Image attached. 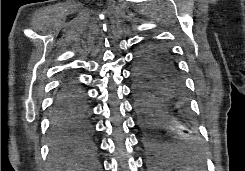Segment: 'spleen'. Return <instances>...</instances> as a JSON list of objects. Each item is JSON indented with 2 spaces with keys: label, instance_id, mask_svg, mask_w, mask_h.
<instances>
[{
  "label": "spleen",
  "instance_id": "spleen-1",
  "mask_svg": "<svg viewBox=\"0 0 245 171\" xmlns=\"http://www.w3.org/2000/svg\"><path fill=\"white\" fill-rule=\"evenodd\" d=\"M180 171H200V170H198V168H196L195 166H187Z\"/></svg>",
  "mask_w": 245,
  "mask_h": 171
}]
</instances>
